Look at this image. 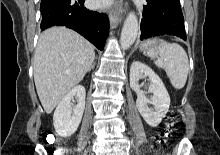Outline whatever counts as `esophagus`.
Listing matches in <instances>:
<instances>
[{
	"label": "esophagus",
	"instance_id": "obj_1",
	"mask_svg": "<svg viewBox=\"0 0 220 155\" xmlns=\"http://www.w3.org/2000/svg\"><path fill=\"white\" fill-rule=\"evenodd\" d=\"M125 14V3L124 0H117L115 6L109 13L110 24L113 26L117 22L121 21Z\"/></svg>",
	"mask_w": 220,
	"mask_h": 155
}]
</instances>
